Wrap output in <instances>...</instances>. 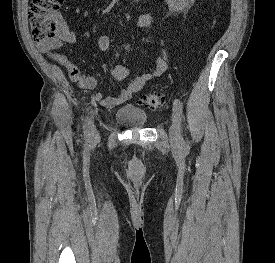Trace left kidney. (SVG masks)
I'll return each mask as SVG.
<instances>
[{"mask_svg": "<svg viewBox=\"0 0 275 263\" xmlns=\"http://www.w3.org/2000/svg\"><path fill=\"white\" fill-rule=\"evenodd\" d=\"M169 10L179 12L184 10L194 0H165Z\"/></svg>", "mask_w": 275, "mask_h": 263, "instance_id": "1", "label": "left kidney"}]
</instances>
